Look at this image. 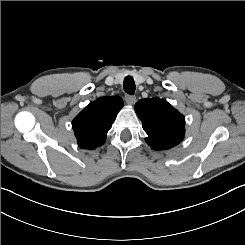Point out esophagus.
Wrapping results in <instances>:
<instances>
[{
	"instance_id": "obj_1",
	"label": "esophagus",
	"mask_w": 245,
	"mask_h": 245,
	"mask_svg": "<svg viewBox=\"0 0 245 245\" xmlns=\"http://www.w3.org/2000/svg\"><path fill=\"white\" fill-rule=\"evenodd\" d=\"M125 101L129 105H133L135 103V101H136V97L133 96V95H125Z\"/></svg>"
}]
</instances>
